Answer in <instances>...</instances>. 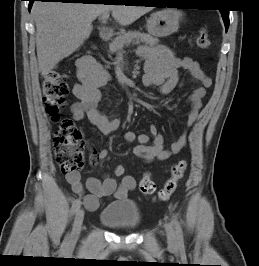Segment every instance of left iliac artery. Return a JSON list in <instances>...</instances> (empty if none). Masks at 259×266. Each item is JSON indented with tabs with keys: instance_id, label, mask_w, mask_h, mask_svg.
<instances>
[{
	"instance_id": "left-iliac-artery-1",
	"label": "left iliac artery",
	"mask_w": 259,
	"mask_h": 266,
	"mask_svg": "<svg viewBox=\"0 0 259 266\" xmlns=\"http://www.w3.org/2000/svg\"><path fill=\"white\" fill-rule=\"evenodd\" d=\"M172 221H173V224L175 226L178 242L182 243L183 242V231H182L181 225H180V223H179V221L175 215L172 216Z\"/></svg>"
}]
</instances>
